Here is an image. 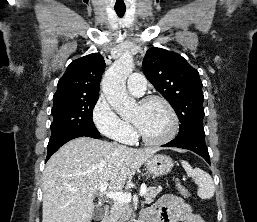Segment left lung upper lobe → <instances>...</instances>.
I'll return each instance as SVG.
<instances>
[{
    "label": "left lung upper lobe",
    "mask_w": 257,
    "mask_h": 222,
    "mask_svg": "<svg viewBox=\"0 0 257 222\" xmlns=\"http://www.w3.org/2000/svg\"><path fill=\"white\" fill-rule=\"evenodd\" d=\"M147 79L175 110L181 124L176 138L204 136L203 93L199 73L179 54L152 47L143 59Z\"/></svg>",
    "instance_id": "1"
}]
</instances>
